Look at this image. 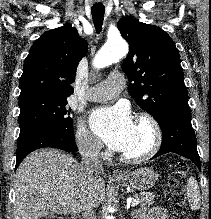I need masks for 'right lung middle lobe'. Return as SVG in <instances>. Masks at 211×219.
I'll return each mask as SVG.
<instances>
[{
	"label": "right lung middle lobe",
	"instance_id": "1",
	"mask_svg": "<svg viewBox=\"0 0 211 219\" xmlns=\"http://www.w3.org/2000/svg\"><path fill=\"white\" fill-rule=\"evenodd\" d=\"M67 98L34 97L19 101L20 134L35 128L52 127L67 133H73V120L69 117Z\"/></svg>",
	"mask_w": 211,
	"mask_h": 219
}]
</instances>
